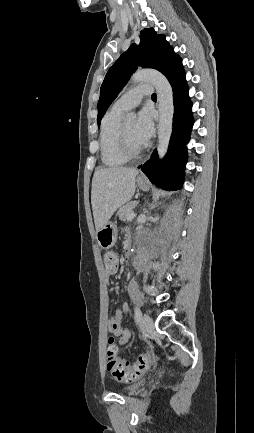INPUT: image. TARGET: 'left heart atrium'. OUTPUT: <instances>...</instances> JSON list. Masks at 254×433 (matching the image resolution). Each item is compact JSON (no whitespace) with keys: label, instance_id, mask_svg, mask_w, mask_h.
Instances as JSON below:
<instances>
[{"label":"left heart atrium","instance_id":"left-heart-atrium-1","mask_svg":"<svg viewBox=\"0 0 254 433\" xmlns=\"http://www.w3.org/2000/svg\"><path fill=\"white\" fill-rule=\"evenodd\" d=\"M134 131L137 139L143 145L152 137L154 122L151 110L145 108L138 113Z\"/></svg>","mask_w":254,"mask_h":433}]
</instances>
